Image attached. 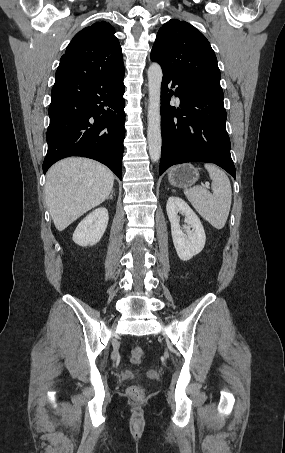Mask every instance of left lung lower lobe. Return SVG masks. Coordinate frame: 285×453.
I'll return each instance as SVG.
<instances>
[{
	"label": "left lung lower lobe",
	"mask_w": 285,
	"mask_h": 453,
	"mask_svg": "<svg viewBox=\"0 0 285 453\" xmlns=\"http://www.w3.org/2000/svg\"><path fill=\"white\" fill-rule=\"evenodd\" d=\"M177 85L180 108L169 106L174 92L167 95L168 84ZM162 154L160 175L170 166L186 162L214 163L235 178L226 131L223 97L169 72L161 85Z\"/></svg>",
	"instance_id": "left-lung-lower-lobe-1"
}]
</instances>
